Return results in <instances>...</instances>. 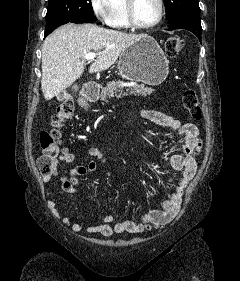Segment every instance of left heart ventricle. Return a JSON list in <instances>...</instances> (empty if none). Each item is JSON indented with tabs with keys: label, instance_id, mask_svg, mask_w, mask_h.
Wrapping results in <instances>:
<instances>
[{
	"label": "left heart ventricle",
	"instance_id": "obj_1",
	"mask_svg": "<svg viewBox=\"0 0 240 281\" xmlns=\"http://www.w3.org/2000/svg\"><path fill=\"white\" fill-rule=\"evenodd\" d=\"M159 5L157 0H136V19L141 24H150L158 16Z\"/></svg>",
	"mask_w": 240,
	"mask_h": 281
}]
</instances>
